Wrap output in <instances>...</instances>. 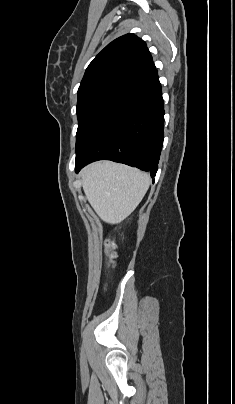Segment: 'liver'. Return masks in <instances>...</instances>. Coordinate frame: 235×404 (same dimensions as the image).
I'll return each mask as SVG.
<instances>
[{
    "label": "liver",
    "mask_w": 235,
    "mask_h": 404,
    "mask_svg": "<svg viewBox=\"0 0 235 404\" xmlns=\"http://www.w3.org/2000/svg\"><path fill=\"white\" fill-rule=\"evenodd\" d=\"M80 175L88 202L101 220L111 225L136 209L150 185L146 173L111 161L90 164Z\"/></svg>",
    "instance_id": "6515ba94"
}]
</instances>
